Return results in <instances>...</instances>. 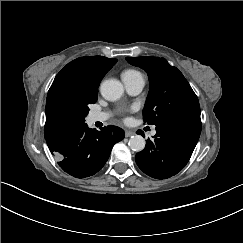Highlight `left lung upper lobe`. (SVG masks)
I'll return each instance as SVG.
<instances>
[{
  "mask_svg": "<svg viewBox=\"0 0 243 243\" xmlns=\"http://www.w3.org/2000/svg\"><path fill=\"white\" fill-rule=\"evenodd\" d=\"M144 69L149 77V94L143 110L144 121L160 125L172 120L201 122L199 101L183 74L166 59L126 57Z\"/></svg>",
  "mask_w": 243,
  "mask_h": 243,
  "instance_id": "obj_1",
  "label": "left lung upper lobe"
}]
</instances>
